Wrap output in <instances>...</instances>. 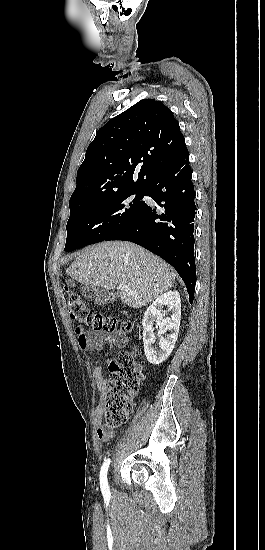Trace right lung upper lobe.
<instances>
[{
	"mask_svg": "<svg viewBox=\"0 0 265 550\" xmlns=\"http://www.w3.org/2000/svg\"><path fill=\"white\" fill-rule=\"evenodd\" d=\"M184 150V136L171 110L160 101L143 99L98 130L70 200L147 189Z\"/></svg>",
	"mask_w": 265,
	"mask_h": 550,
	"instance_id": "1",
	"label": "right lung upper lobe"
}]
</instances>
